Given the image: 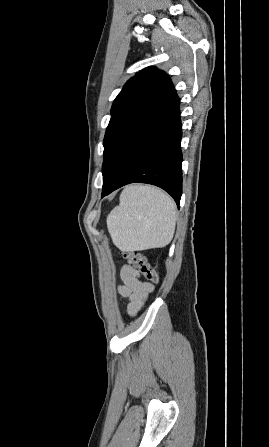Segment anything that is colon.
Instances as JSON below:
<instances>
[{
    "label": "colon",
    "mask_w": 269,
    "mask_h": 447,
    "mask_svg": "<svg viewBox=\"0 0 269 447\" xmlns=\"http://www.w3.org/2000/svg\"><path fill=\"white\" fill-rule=\"evenodd\" d=\"M122 257L133 267L137 268L145 279L152 283H159L158 272L150 265L141 252H123Z\"/></svg>",
    "instance_id": "obj_1"
}]
</instances>
